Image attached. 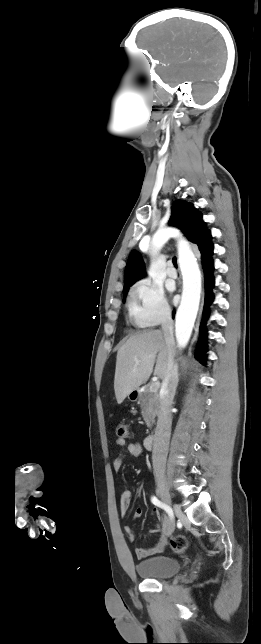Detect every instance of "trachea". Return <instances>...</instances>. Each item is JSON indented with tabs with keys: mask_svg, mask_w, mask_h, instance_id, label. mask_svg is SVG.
Here are the masks:
<instances>
[{
	"mask_svg": "<svg viewBox=\"0 0 261 644\" xmlns=\"http://www.w3.org/2000/svg\"><path fill=\"white\" fill-rule=\"evenodd\" d=\"M173 264H174V266L177 268V260H176V257H174V258H173Z\"/></svg>",
	"mask_w": 261,
	"mask_h": 644,
	"instance_id": "obj_1",
	"label": "trachea"
}]
</instances>
